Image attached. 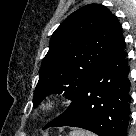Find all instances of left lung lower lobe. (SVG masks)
I'll use <instances>...</instances> for the list:
<instances>
[{"label": "left lung lower lobe", "mask_w": 136, "mask_h": 136, "mask_svg": "<svg viewBox=\"0 0 136 136\" xmlns=\"http://www.w3.org/2000/svg\"><path fill=\"white\" fill-rule=\"evenodd\" d=\"M124 47L120 30L102 64L84 83L69 108L45 128L72 126L99 136H126L130 83Z\"/></svg>", "instance_id": "left-lung-lower-lobe-1"}]
</instances>
